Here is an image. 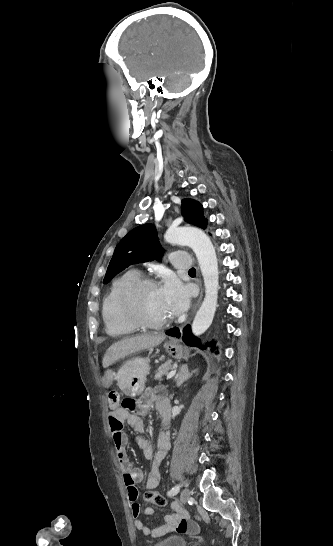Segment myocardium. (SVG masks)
Wrapping results in <instances>:
<instances>
[{
	"instance_id": "f54148a6",
	"label": "myocardium",
	"mask_w": 333,
	"mask_h": 546,
	"mask_svg": "<svg viewBox=\"0 0 333 546\" xmlns=\"http://www.w3.org/2000/svg\"><path fill=\"white\" fill-rule=\"evenodd\" d=\"M158 287L157 282L150 278H139L130 283L120 297V308L125 318L137 328L162 329L171 323V318L163 321H150L140 310V298L148 288Z\"/></svg>"
}]
</instances>
